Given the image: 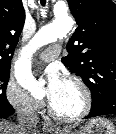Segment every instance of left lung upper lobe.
Instances as JSON below:
<instances>
[{
	"label": "left lung upper lobe",
	"mask_w": 116,
	"mask_h": 134,
	"mask_svg": "<svg viewBox=\"0 0 116 134\" xmlns=\"http://www.w3.org/2000/svg\"><path fill=\"white\" fill-rule=\"evenodd\" d=\"M78 27L62 58L89 88L92 106L116 103V4L111 0H67Z\"/></svg>",
	"instance_id": "5c2ea615"
}]
</instances>
